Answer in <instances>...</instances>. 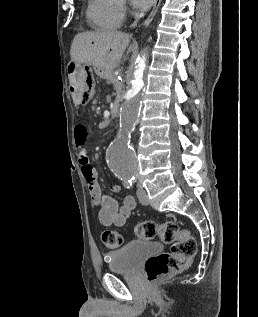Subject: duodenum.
<instances>
[{"label":"duodenum","mask_w":258,"mask_h":317,"mask_svg":"<svg viewBox=\"0 0 258 317\" xmlns=\"http://www.w3.org/2000/svg\"><path fill=\"white\" fill-rule=\"evenodd\" d=\"M81 72V68L75 65H69L67 67L69 87L72 91H77L79 89L81 81Z\"/></svg>","instance_id":"1"}]
</instances>
